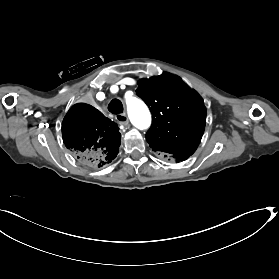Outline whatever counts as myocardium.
<instances>
[{
	"instance_id": "obj_1",
	"label": "myocardium",
	"mask_w": 279,
	"mask_h": 279,
	"mask_svg": "<svg viewBox=\"0 0 279 279\" xmlns=\"http://www.w3.org/2000/svg\"><path fill=\"white\" fill-rule=\"evenodd\" d=\"M97 98H98L99 100H102V99H103V95L100 96V94H98ZM82 111H83V110H82Z\"/></svg>"
}]
</instances>
